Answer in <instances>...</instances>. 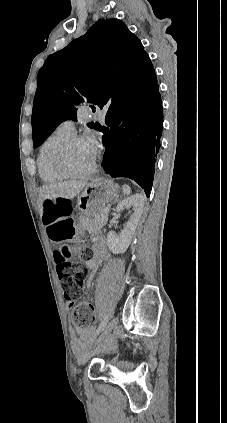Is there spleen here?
I'll return each instance as SVG.
<instances>
[{"label":"spleen","mask_w":227,"mask_h":423,"mask_svg":"<svg viewBox=\"0 0 227 423\" xmlns=\"http://www.w3.org/2000/svg\"><path fill=\"white\" fill-rule=\"evenodd\" d=\"M123 192L126 196H129V194H131V188H129V186H123Z\"/></svg>","instance_id":"spleen-1"}]
</instances>
